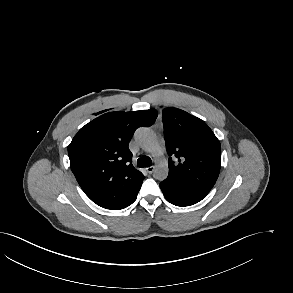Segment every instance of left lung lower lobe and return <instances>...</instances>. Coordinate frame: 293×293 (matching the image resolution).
<instances>
[{
    "label": "left lung lower lobe",
    "instance_id": "0a47b994",
    "mask_svg": "<svg viewBox=\"0 0 293 293\" xmlns=\"http://www.w3.org/2000/svg\"><path fill=\"white\" fill-rule=\"evenodd\" d=\"M160 188L165 198L176 206H190L201 201L210 190H197L190 186L164 180Z\"/></svg>",
    "mask_w": 293,
    "mask_h": 293
}]
</instances>
